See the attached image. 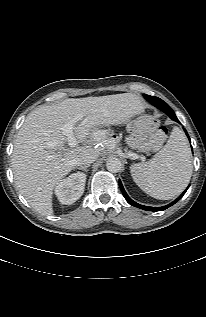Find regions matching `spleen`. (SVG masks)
I'll list each match as a JSON object with an SVG mask.
<instances>
[{
	"instance_id": "1",
	"label": "spleen",
	"mask_w": 206,
	"mask_h": 317,
	"mask_svg": "<svg viewBox=\"0 0 206 317\" xmlns=\"http://www.w3.org/2000/svg\"><path fill=\"white\" fill-rule=\"evenodd\" d=\"M134 182L150 196L168 200L180 194L192 174L191 152L184 133L174 127L166 145L154 157L130 167Z\"/></svg>"
}]
</instances>
